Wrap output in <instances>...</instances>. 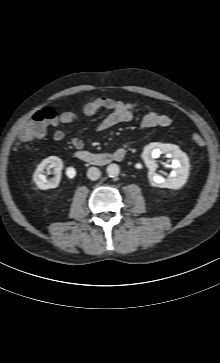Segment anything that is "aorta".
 <instances>
[{
    "instance_id": "aorta-1",
    "label": "aorta",
    "mask_w": 220,
    "mask_h": 363,
    "mask_svg": "<svg viewBox=\"0 0 220 363\" xmlns=\"http://www.w3.org/2000/svg\"><path fill=\"white\" fill-rule=\"evenodd\" d=\"M106 172L110 177H116L120 173V168L117 164H110L107 166Z\"/></svg>"
}]
</instances>
